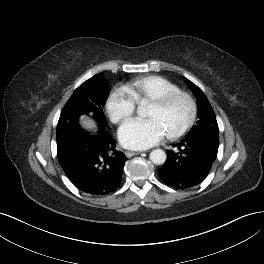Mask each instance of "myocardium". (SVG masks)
<instances>
[{"label": "myocardium", "instance_id": "1", "mask_svg": "<svg viewBox=\"0 0 264 264\" xmlns=\"http://www.w3.org/2000/svg\"><path fill=\"white\" fill-rule=\"evenodd\" d=\"M178 100L185 101V103L187 104L188 113L185 121L180 127L167 133V137L169 139H178L182 137L193 126L197 115L196 102L188 92L182 90L168 93L160 98L151 101V104L155 105L156 107L160 109H166Z\"/></svg>", "mask_w": 264, "mask_h": 264}]
</instances>
